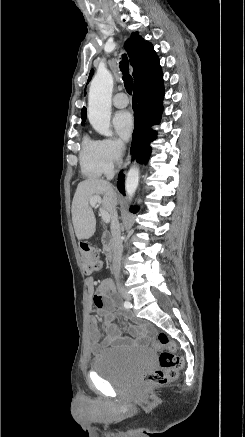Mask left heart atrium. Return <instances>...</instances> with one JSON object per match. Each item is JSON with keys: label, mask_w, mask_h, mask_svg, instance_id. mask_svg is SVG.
<instances>
[{"label": "left heart atrium", "mask_w": 245, "mask_h": 437, "mask_svg": "<svg viewBox=\"0 0 245 437\" xmlns=\"http://www.w3.org/2000/svg\"><path fill=\"white\" fill-rule=\"evenodd\" d=\"M113 126L121 139L128 140L134 130V118L128 111L118 112L113 118Z\"/></svg>", "instance_id": "obj_1"}]
</instances>
